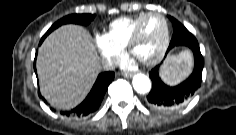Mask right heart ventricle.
<instances>
[{"instance_id":"1","label":"right heart ventricle","mask_w":236,"mask_h":135,"mask_svg":"<svg viewBox=\"0 0 236 135\" xmlns=\"http://www.w3.org/2000/svg\"><path fill=\"white\" fill-rule=\"evenodd\" d=\"M144 15L145 13H140L135 16L121 17L112 21L108 26L106 36L116 46L124 48L136 24Z\"/></svg>"}]
</instances>
